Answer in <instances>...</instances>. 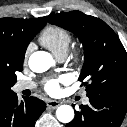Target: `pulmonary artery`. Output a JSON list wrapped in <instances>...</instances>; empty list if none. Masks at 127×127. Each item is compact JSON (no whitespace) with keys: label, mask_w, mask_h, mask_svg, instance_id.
Returning <instances> with one entry per match:
<instances>
[{"label":"pulmonary artery","mask_w":127,"mask_h":127,"mask_svg":"<svg viewBox=\"0 0 127 127\" xmlns=\"http://www.w3.org/2000/svg\"><path fill=\"white\" fill-rule=\"evenodd\" d=\"M58 59L60 61H63L65 59V56H60V57H58ZM35 86H36V84L34 82H32V81H19L15 85V90L17 92H20V91H23V90L33 89V88H35ZM82 102L83 103H87L88 102V98L84 97L82 99Z\"/></svg>","instance_id":"obj_1"}]
</instances>
